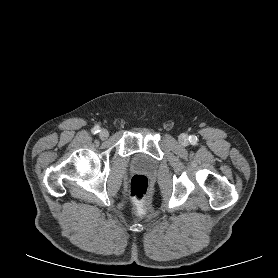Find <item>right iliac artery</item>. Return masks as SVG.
Here are the masks:
<instances>
[{"mask_svg": "<svg viewBox=\"0 0 278 278\" xmlns=\"http://www.w3.org/2000/svg\"><path fill=\"white\" fill-rule=\"evenodd\" d=\"M99 131H100L99 126H95V127L92 129V133H93V134H96V133H98Z\"/></svg>", "mask_w": 278, "mask_h": 278, "instance_id": "obj_1", "label": "right iliac artery"}]
</instances>
